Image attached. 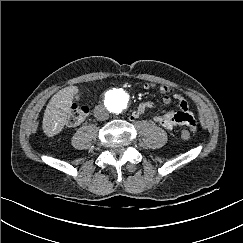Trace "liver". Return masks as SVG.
I'll use <instances>...</instances> for the list:
<instances>
[{
    "label": "liver",
    "mask_w": 243,
    "mask_h": 243,
    "mask_svg": "<svg viewBox=\"0 0 243 243\" xmlns=\"http://www.w3.org/2000/svg\"><path fill=\"white\" fill-rule=\"evenodd\" d=\"M77 92L76 86H69L58 91L50 99L42 121V129L47 136L57 135L63 129Z\"/></svg>",
    "instance_id": "liver-1"
}]
</instances>
